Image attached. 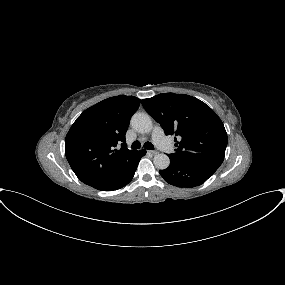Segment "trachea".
<instances>
[{"label":"trachea","mask_w":285,"mask_h":285,"mask_svg":"<svg viewBox=\"0 0 285 285\" xmlns=\"http://www.w3.org/2000/svg\"><path fill=\"white\" fill-rule=\"evenodd\" d=\"M140 147H141V144H140L139 141H134V142L132 143V146H131V148H133V149H138V148H140ZM144 148H145V149H148V150H154V146H153V144H152L151 142H146V143L144 144Z\"/></svg>","instance_id":"obj_1"}]
</instances>
